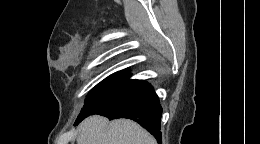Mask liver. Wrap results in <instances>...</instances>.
Wrapping results in <instances>:
<instances>
[{"instance_id": "obj_1", "label": "liver", "mask_w": 260, "mask_h": 144, "mask_svg": "<svg viewBox=\"0 0 260 144\" xmlns=\"http://www.w3.org/2000/svg\"><path fill=\"white\" fill-rule=\"evenodd\" d=\"M77 144H156V140L134 121L117 119L110 122L94 115L79 125Z\"/></svg>"}]
</instances>
